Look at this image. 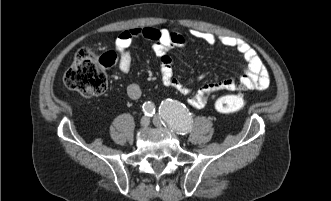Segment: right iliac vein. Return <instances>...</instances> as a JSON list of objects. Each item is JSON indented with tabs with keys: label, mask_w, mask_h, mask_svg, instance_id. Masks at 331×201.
<instances>
[{
	"label": "right iliac vein",
	"mask_w": 331,
	"mask_h": 201,
	"mask_svg": "<svg viewBox=\"0 0 331 201\" xmlns=\"http://www.w3.org/2000/svg\"><path fill=\"white\" fill-rule=\"evenodd\" d=\"M149 123H150V119L147 116L142 117L140 120V125L142 127H147L149 125Z\"/></svg>",
	"instance_id": "63e3f726"
}]
</instances>
